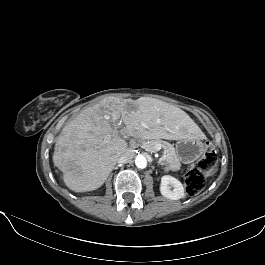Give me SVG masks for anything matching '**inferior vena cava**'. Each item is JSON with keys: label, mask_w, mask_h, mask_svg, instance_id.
Returning a JSON list of instances; mask_svg holds the SVG:
<instances>
[{"label": "inferior vena cava", "mask_w": 265, "mask_h": 265, "mask_svg": "<svg viewBox=\"0 0 265 265\" xmlns=\"http://www.w3.org/2000/svg\"><path fill=\"white\" fill-rule=\"evenodd\" d=\"M134 156V152L131 149H126L124 151V153L120 156V158L118 159L119 163H127L130 162L132 160Z\"/></svg>", "instance_id": "1"}]
</instances>
